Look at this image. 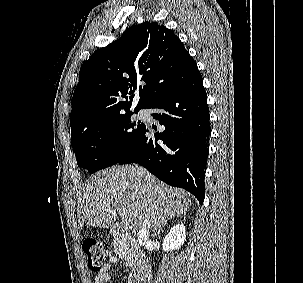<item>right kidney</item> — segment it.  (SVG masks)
Wrapping results in <instances>:
<instances>
[{"mask_svg":"<svg viewBox=\"0 0 303 283\" xmlns=\"http://www.w3.org/2000/svg\"><path fill=\"white\" fill-rule=\"evenodd\" d=\"M186 240V229L183 224H178L171 228L170 232L165 236L162 247L166 252L179 249Z\"/></svg>","mask_w":303,"mask_h":283,"instance_id":"1","label":"right kidney"}]
</instances>
